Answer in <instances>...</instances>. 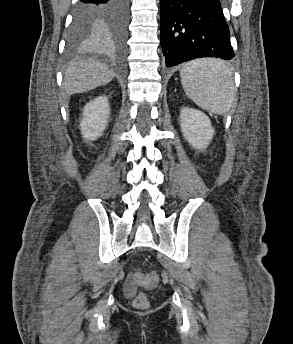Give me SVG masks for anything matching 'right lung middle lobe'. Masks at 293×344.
I'll list each match as a JSON object with an SVG mask.
<instances>
[{
	"label": "right lung middle lobe",
	"mask_w": 293,
	"mask_h": 344,
	"mask_svg": "<svg viewBox=\"0 0 293 344\" xmlns=\"http://www.w3.org/2000/svg\"><path fill=\"white\" fill-rule=\"evenodd\" d=\"M94 19L87 13L78 11L76 8L74 21L69 33V46L77 48L91 45Z\"/></svg>",
	"instance_id": "1"
}]
</instances>
